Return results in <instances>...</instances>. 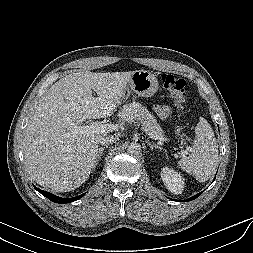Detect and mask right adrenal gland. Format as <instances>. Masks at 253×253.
<instances>
[{"instance_id": "right-adrenal-gland-1", "label": "right adrenal gland", "mask_w": 253, "mask_h": 253, "mask_svg": "<svg viewBox=\"0 0 253 253\" xmlns=\"http://www.w3.org/2000/svg\"><path fill=\"white\" fill-rule=\"evenodd\" d=\"M106 147H107V145H105V146H103V147H100V148L98 149V155H97V159H96V165H97V163L100 161L101 156H102V154H103V151L105 150Z\"/></svg>"}]
</instances>
